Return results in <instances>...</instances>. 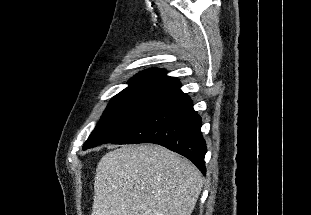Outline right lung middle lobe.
Returning <instances> with one entry per match:
<instances>
[{
    "instance_id": "dd1d6c3e",
    "label": "right lung middle lobe",
    "mask_w": 311,
    "mask_h": 215,
    "mask_svg": "<svg viewBox=\"0 0 311 215\" xmlns=\"http://www.w3.org/2000/svg\"><path fill=\"white\" fill-rule=\"evenodd\" d=\"M169 86H131L115 95L83 145V150L110 143L130 130L162 99Z\"/></svg>"
}]
</instances>
